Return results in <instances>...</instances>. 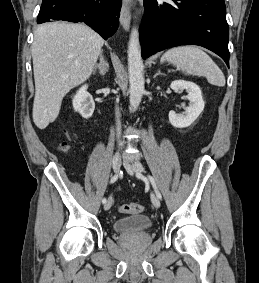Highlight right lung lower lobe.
Here are the masks:
<instances>
[{"label": "right lung lower lobe", "mask_w": 259, "mask_h": 283, "mask_svg": "<svg viewBox=\"0 0 259 283\" xmlns=\"http://www.w3.org/2000/svg\"><path fill=\"white\" fill-rule=\"evenodd\" d=\"M120 10L121 0H43L37 23L84 22L106 40L118 28Z\"/></svg>", "instance_id": "right-lung-lower-lobe-1"}]
</instances>
